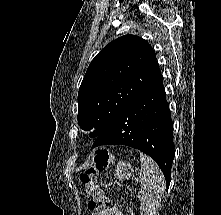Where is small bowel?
Wrapping results in <instances>:
<instances>
[{
  "label": "small bowel",
  "mask_w": 221,
  "mask_h": 215,
  "mask_svg": "<svg viewBox=\"0 0 221 215\" xmlns=\"http://www.w3.org/2000/svg\"><path fill=\"white\" fill-rule=\"evenodd\" d=\"M94 215H123V214L119 209L115 207H110L101 212H96Z\"/></svg>",
  "instance_id": "1"
}]
</instances>
